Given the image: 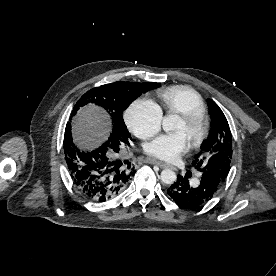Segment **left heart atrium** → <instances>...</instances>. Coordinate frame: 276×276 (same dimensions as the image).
I'll return each instance as SVG.
<instances>
[{"instance_id": "39dd6f15", "label": "left heart atrium", "mask_w": 276, "mask_h": 276, "mask_svg": "<svg viewBox=\"0 0 276 276\" xmlns=\"http://www.w3.org/2000/svg\"><path fill=\"white\" fill-rule=\"evenodd\" d=\"M188 149L186 137L179 132L162 135L145 146L146 154L164 161L177 160Z\"/></svg>"}]
</instances>
